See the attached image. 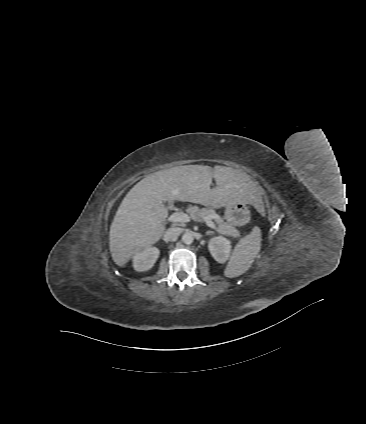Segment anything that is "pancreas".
<instances>
[{
  "instance_id": "pancreas-1",
  "label": "pancreas",
  "mask_w": 366,
  "mask_h": 424,
  "mask_svg": "<svg viewBox=\"0 0 366 424\" xmlns=\"http://www.w3.org/2000/svg\"><path fill=\"white\" fill-rule=\"evenodd\" d=\"M190 215L193 216V218L198 221H202L205 218L214 219L216 223L218 224L217 231L220 234H223L226 236H232L234 238H237L240 236L239 231L231 224L224 222L223 218L217 215L213 209H210V208L199 209L198 207H192L190 208Z\"/></svg>"
}]
</instances>
